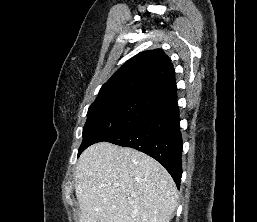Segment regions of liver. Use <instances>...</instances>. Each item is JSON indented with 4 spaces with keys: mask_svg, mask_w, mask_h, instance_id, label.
Listing matches in <instances>:
<instances>
[{
    "mask_svg": "<svg viewBox=\"0 0 257 222\" xmlns=\"http://www.w3.org/2000/svg\"><path fill=\"white\" fill-rule=\"evenodd\" d=\"M79 222H169L178 191L166 169L128 147L100 142L76 167Z\"/></svg>",
    "mask_w": 257,
    "mask_h": 222,
    "instance_id": "obj_1",
    "label": "liver"
}]
</instances>
